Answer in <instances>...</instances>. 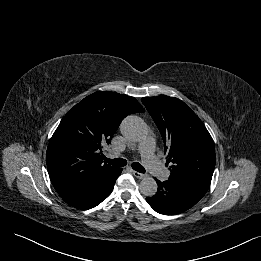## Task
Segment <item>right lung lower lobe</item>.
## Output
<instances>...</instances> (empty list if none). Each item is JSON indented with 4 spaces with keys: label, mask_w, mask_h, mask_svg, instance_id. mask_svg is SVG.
<instances>
[{
    "label": "right lung lower lobe",
    "mask_w": 261,
    "mask_h": 261,
    "mask_svg": "<svg viewBox=\"0 0 261 261\" xmlns=\"http://www.w3.org/2000/svg\"><path fill=\"white\" fill-rule=\"evenodd\" d=\"M121 172V168H116L95 184L74 193L62 196V199L69 205L78 209L86 210L93 208L111 194L115 181Z\"/></svg>",
    "instance_id": "obj_1"
}]
</instances>
